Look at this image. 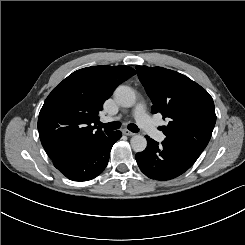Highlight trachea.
Instances as JSON below:
<instances>
[{"mask_svg": "<svg viewBox=\"0 0 245 245\" xmlns=\"http://www.w3.org/2000/svg\"><path fill=\"white\" fill-rule=\"evenodd\" d=\"M99 126L106 128V129H119L121 124H120V122H110V123H106V124L99 123ZM128 129L130 131H132L133 133L140 132V129L134 123L129 124Z\"/></svg>", "mask_w": 245, "mask_h": 245, "instance_id": "obj_1", "label": "trachea"}]
</instances>
